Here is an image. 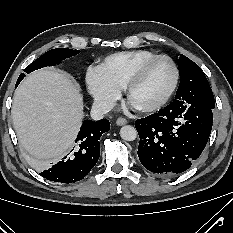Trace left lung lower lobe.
<instances>
[{
    "instance_id": "left-lung-lower-lobe-1",
    "label": "left lung lower lobe",
    "mask_w": 233,
    "mask_h": 233,
    "mask_svg": "<svg viewBox=\"0 0 233 233\" xmlns=\"http://www.w3.org/2000/svg\"><path fill=\"white\" fill-rule=\"evenodd\" d=\"M213 109L172 102L158 113L135 121L142 165L161 177L186 171L210 136Z\"/></svg>"
}]
</instances>
